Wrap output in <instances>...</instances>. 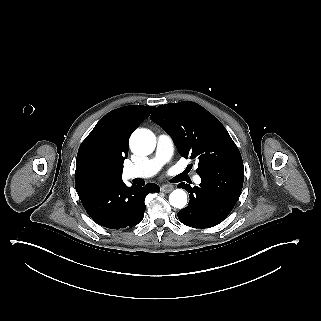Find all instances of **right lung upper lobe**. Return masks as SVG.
Returning <instances> with one entry per match:
<instances>
[{
    "label": "right lung upper lobe",
    "mask_w": 321,
    "mask_h": 321,
    "mask_svg": "<svg viewBox=\"0 0 321 321\" xmlns=\"http://www.w3.org/2000/svg\"><path fill=\"white\" fill-rule=\"evenodd\" d=\"M155 107L130 105L106 114L79 147L75 172L76 190L122 182L129 138Z\"/></svg>",
    "instance_id": "1"
}]
</instances>
